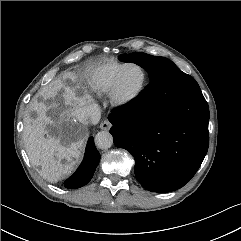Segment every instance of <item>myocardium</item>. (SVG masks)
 <instances>
[{
	"label": "myocardium",
	"instance_id": "1",
	"mask_svg": "<svg viewBox=\"0 0 241 241\" xmlns=\"http://www.w3.org/2000/svg\"><path fill=\"white\" fill-rule=\"evenodd\" d=\"M130 67H136L142 72L143 78L139 86L131 92H123L119 87V81L123 73ZM148 80L147 70L137 63H126L116 74L113 79L109 97L112 105L119 110L131 108L142 96Z\"/></svg>",
	"mask_w": 241,
	"mask_h": 241
}]
</instances>
